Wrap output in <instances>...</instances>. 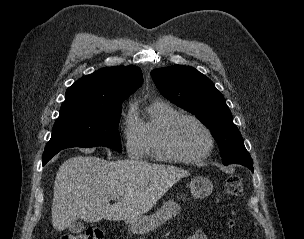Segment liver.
Masks as SVG:
<instances>
[{
  "instance_id": "6515ba94",
  "label": "liver",
  "mask_w": 304,
  "mask_h": 239,
  "mask_svg": "<svg viewBox=\"0 0 304 239\" xmlns=\"http://www.w3.org/2000/svg\"><path fill=\"white\" fill-rule=\"evenodd\" d=\"M190 173L170 165L139 160L107 161L75 156L59 167L54 183L52 225L63 231L77 219L132 220L148 212L181 178ZM120 198L110 204L109 198Z\"/></svg>"
}]
</instances>
